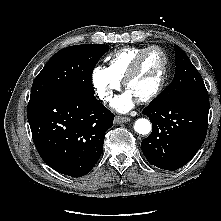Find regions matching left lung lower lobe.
I'll list each match as a JSON object with an SVG mask.
<instances>
[{
  "label": "left lung lower lobe",
  "mask_w": 221,
  "mask_h": 221,
  "mask_svg": "<svg viewBox=\"0 0 221 221\" xmlns=\"http://www.w3.org/2000/svg\"><path fill=\"white\" fill-rule=\"evenodd\" d=\"M209 99L184 97L150 103L143 114L152 122V133L141 142L151 165L174 171L187 164L204 142Z\"/></svg>",
  "instance_id": "obj_1"
}]
</instances>
